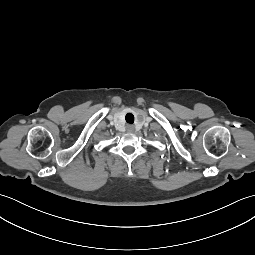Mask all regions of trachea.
Returning <instances> with one entry per match:
<instances>
[{
	"mask_svg": "<svg viewBox=\"0 0 255 255\" xmlns=\"http://www.w3.org/2000/svg\"><path fill=\"white\" fill-rule=\"evenodd\" d=\"M125 119H126V122H127V123L133 124V122H134V116H133V114H131V113H128V114L126 115Z\"/></svg>",
	"mask_w": 255,
	"mask_h": 255,
	"instance_id": "obj_1",
	"label": "trachea"
}]
</instances>
